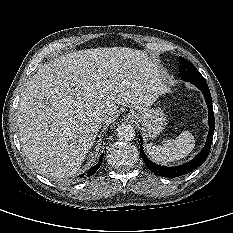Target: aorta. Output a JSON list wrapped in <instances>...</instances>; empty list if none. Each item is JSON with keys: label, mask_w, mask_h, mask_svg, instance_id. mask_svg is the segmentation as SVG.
Wrapping results in <instances>:
<instances>
[{"label": "aorta", "mask_w": 233, "mask_h": 233, "mask_svg": "<svg viewBox=\"0 0 233 233\" xmlns=\"http://www.w3.org/2000/svg\"><path fill=\"white\" fill-rule=\"evenodd\" d=\"M116 133L118 138L124 141H132L135 137V129L130 124L119 125Z\"/></svg>", "instance_id": "1"}]
</instances>
